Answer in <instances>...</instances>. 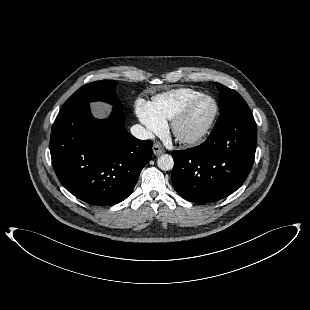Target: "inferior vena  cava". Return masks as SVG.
Here are the masks:
<instances>
[{
	"instance_id": "inferior-vena-cava-1",
	"label": "inferior vena cava",
	"mask_w": 310,
	"mask_h": 310,
	"mask_svg": "<svg viewBox=\"0 0 310 310\" xmlns=\"http://www.w3.org/2000/svg\"><path fill=\"white\" fill-rule=\"evenodd\" d=\"M131 134L140 140L152 139L154 137L151 131L147 130L140 124H135L131 127Z\"/></svg>"
}]
</instances>
